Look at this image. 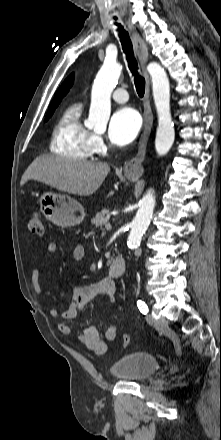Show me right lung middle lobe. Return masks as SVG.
Instances as JSON below:
<instances>
[{"label":"right lung middle lobe","mask_w":221,"mask_h":440,"mask_svg":"<svg viewBox=\"0 0 221 440\" xmlns=\"http://www.w3.org/2000/svg\"><path fill=\"white\" fill-rule=\"evenodd\" d=\"M55 108H56V107H54V108L48 110L45 121H47V120L52 116V114H53Z\"/></svg>","instance_id":"obj_1"}]
</instances>
